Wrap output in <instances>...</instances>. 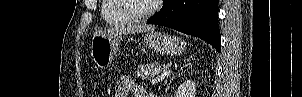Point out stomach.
<instances>
[{
	"instance_id": "1",
	"label": "stomach",
	"mask_w": 302,
	"mask_h": 97,
	"mask_svg": "<svg viewBox=\"0 0 302 97\" xmlns=\"http://www.w3.org/2000/svg\"><path fill=\"white\" fill-rule=\"evenodd\" d=\"M121 34L97 35L92 39L91 57L98 68H108L116 56ZM144 43L150 49L163 55H181L187 48L186 42L177 36L157 31H149L144 36Z\"/></svg>"
}]
</instances>
